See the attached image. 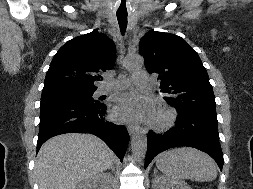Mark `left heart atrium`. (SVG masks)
I'll use <instances>...</instances> for the list:
<instances>
[{"label": "left heart atrium", "instance_id": "39dd6f15", "mask_svg": "<svg viewBox=\"0 0 253 189\" xmlns=\"http://www.w3.org/2000/svg\"><path fill=\"white\" fill-rule=\"evenodd\" d=\"M113 116L122 121H140L151 115L148 102L133 94H123L115 101Z\"/></svg>", "mask_w": 253, "mask_h": 189}]
</instances>
